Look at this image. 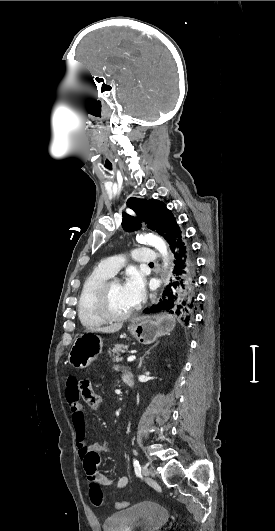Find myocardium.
<instances>
[{
	"label": "myocardium",
	"mask_w": 275,
	"mask_h": 531,
	"mask_svg": "<svg viewBox=\"0 0 275 531\" xmlns=\"http://www.w3.org/2000/svg\"><path fill=\"white\" fill-rule=\"evenodd\" d=\"M115 282L121 281L114 276H110L101 283L94 298V308L107 321H124L133 315L134 309L123 315H116L111 311L109 306V289Z\"/></svg>",
	"instance_id": "myocardium-1"
}]
</instances>
